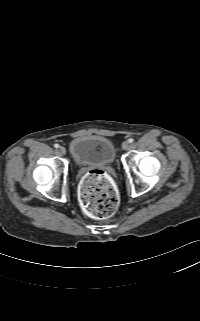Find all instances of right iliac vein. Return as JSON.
<instances>
[{
    "instance_id": "right-iliac-vein-1",
    "label": "right iliac vein",
    "mask_w": 200,
    "mask_h": 321,
    "mask_svg": "<svg viewBox=\"0 0 200 321\" xmlns=\"http://www.w3.org/2000/svg\"><path fill=\"white\" fill-rule=\"evenodd\" d=\"M59 152L62 154V155H64L65 153H66V150H65V148L64 147H59Z\"/></svg>"
}]
</instances>
